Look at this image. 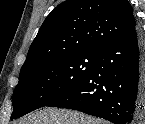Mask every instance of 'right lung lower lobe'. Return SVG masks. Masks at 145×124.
<instances>
[{
    "label": "right lung lower lobe",
    "mask_w": 145,
    "mask_h": 124,
    "mask_svg": "<svg viewBox=\"0 0 145 124\" xmlns=\"http://www.w3.org/2000/svg\"><path fill=\"white\" fill-rule=\"evenodd\" d=\"M46 106L132 124L145 108V56L139 28L107 45L86 77Z\"/></svg>",
    "instance_id": "obj_1"
}]
</instances>
